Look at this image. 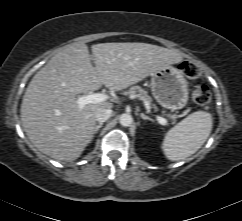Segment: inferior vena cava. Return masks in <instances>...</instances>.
Segmentation results:
<instances>
[{
  "label": "inferior vena cava",
  "instance_id": "obj_1",
  "mask_svg": "<svg viewBox=\"0 0 242 221\" xmlns=\"http://www.w3.org/2000/svg\"><path fill=\"white\" fill-rule=\"evenodd\" d=\"M112 115V110L110 108L99 107L95 111L96 121L102 123L107 121Z\"/></svg>",
  "mask_w": 242,
  "mask_h": 221
}]
</instances>
